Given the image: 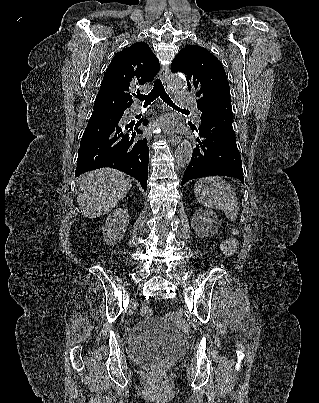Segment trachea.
Masks as SVG:
<instances>
[{
	"label": "trachea",
	"mask_w": 319,
	"mask_h": 403,
	"mask_svg": "<svg viewBox=\"0 0 319 403\" xmlns=\"http://www.w3.org/2000/svg\"><path fill=\"white\" fill-rule=\"evenodd\" d=\"M158 97H160L167 105L171 106L172 108L180 109L172 102L171 98L166 93L164 86L160 79L155 80L154 87L148 95H143L140 93L137 94V98L145 101L144 105H149L151 102H153Z\"/></svg>",
	"instance_id": "1"
}]
</instances>
